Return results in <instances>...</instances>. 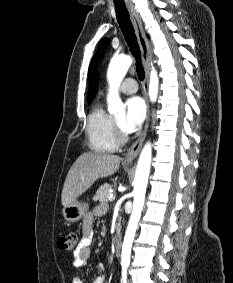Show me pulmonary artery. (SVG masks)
<instances>
[{"mask_svg": "<svg viewBox=\"0 0 233 283\" xmlns=\"http://www.w3.org/2000/svg\"><path fill=\"white\" fill-rule=\"evenodd\" d=\"M137 89V82L133 78L125 79L120 86V91L125 94H133L137 91Z\"/></svg>", "mask_w": 233, "mask_h": 283, "instance_id": "e3ab8cb5", "label": "pulmonary artery"}]
</instances>
